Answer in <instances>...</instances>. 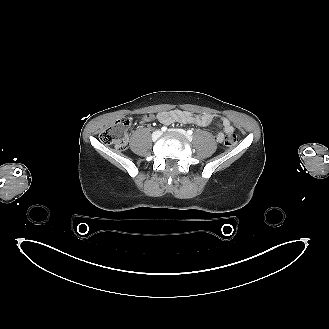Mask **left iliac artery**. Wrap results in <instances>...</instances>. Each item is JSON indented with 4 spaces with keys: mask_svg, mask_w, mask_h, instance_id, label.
Segmentation results:
<instances>
[{
    "mask_svg": "<svg viewBox=\"0 0 329 329\" xmlns=\"http://www.w3.org/2000/svg\"><path fill=\"white\" fill-rule=\"evenodd\" d=\"M187 133H188V135H192L193 134V131L192 130H188Z\"/></svg>",
    "mask_w": 329,
    "mask_h": 329,
    "instance_id": "left-iliac-artery-1",
    "label": "left iliac artery"
}]
</instances>
